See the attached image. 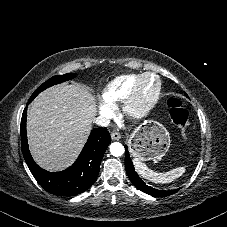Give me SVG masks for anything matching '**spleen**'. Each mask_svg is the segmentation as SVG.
I'll use <instances>...</instances> for the list:
<instances>
[{
  "label": "spleen",
  "instance_id": "3e777b00",
  "mask_svg": "<svg viewBox=\"0 0 227 227\" xmlns=\"http://www.w3.org/2000/svg\"><path fill=\"white\" fill-rule=\"evenodd\" d=\"M136 172L143 178L154 183H169L182 176L185 167H177L165 173H159L151 170L142 161L137 158L133 159Z\"/></svg>",
  "mask_w": 227,
  "mask_h": 227
}]
</instances>
